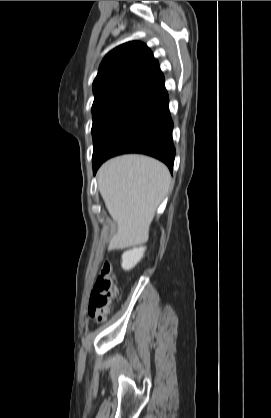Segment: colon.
<instances>
[{
	"label": "colon",
	"instance_id": "colon-1",
	"mask_svg": "<svg viewBox=\"0 0 271 418\" xmlns=\"http://www.w3.org/2000/svg\"><path fill=\"white\" fill-rule=\"evenodd\" d=\"M118 294L115 278L108 262H105L97 277L89 299V315L96 322L106 319Z\"/></svg>",
	"mask_w": 271,
	"mask_h": 418
}]
</instances>
